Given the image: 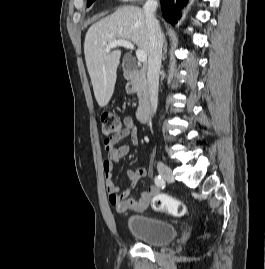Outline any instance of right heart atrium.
Segmentation results:
<instances>
[{"mask_svg":"<svg viewBox=\"0 0 265 269\" xmlns=\"http://www.w3.org/2000/svg\"><path fill=\"white\" fill-rule=\"evenodd\" d=\"M122 2H131V1H137V0H120Z\"/></svg>","mask_w":265,"mask_h":269,"instance_id":"obj_1","label":"right heart atrium"}]
</instances>
